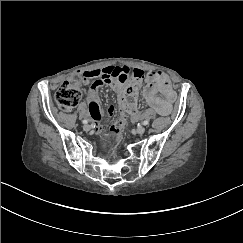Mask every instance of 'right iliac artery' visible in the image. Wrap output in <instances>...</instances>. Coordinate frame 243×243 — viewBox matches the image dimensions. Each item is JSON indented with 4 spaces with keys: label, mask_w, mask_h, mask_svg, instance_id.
<instances>
[{
    "label": "right iliac artery",
    "mask_w": 243,
    "mask_h": 243,
    "mask_svg": "<svg viewBox=\"0 0 243 243\" xmlns=\"http://www.w3.org/2000/svg\"><path fill=\"white\" fill-rule=\"evenodd\" d=\"M82 123L83 124H87L88 123V120L85 119V120L82 121Z\"/></svg>",
    "instance_id": "right-iliac-artery-1"
}]
</instances>
